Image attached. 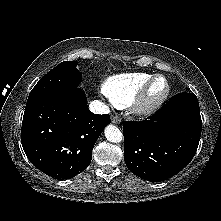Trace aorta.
<instances>
[{
    "label": "aorta",
    "instance_id": "aorta-1",
    "mask_svg": "<svg viewBox=\"0 0 221 221\" xmlns=\"http://www.w3.org/2000/svg\"><path fill=\"white\" fill-rule=\"evenodd\" d=\"M104 134H105L106 139L112 143L121 142L123 138V134L120 131V129L112 124L108 125L105 128Z\"/></svg>",
    "mask_w": 221,
    "mask_h": 221
}]
</instances>
